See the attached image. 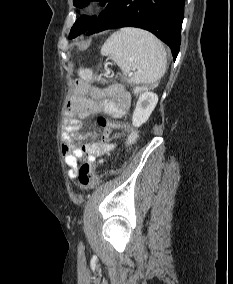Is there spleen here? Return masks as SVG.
<instances>
[{"instance_id":"obj_1","label":"spleen","mask_w":233,"mask_h":284,"mask_svg":"<svg viewBox=\"0 0 233 284\" xmlns=\"http://www.w3.org/2000/svg\"><path fill=\"white\" fill-rule=\"evenodd\" d=\"M101 54L111 58L122 70L123 81L131 84H154L166 72L163 44L142 29H120L106 40Z\"/></svg>"}]
</instances>
